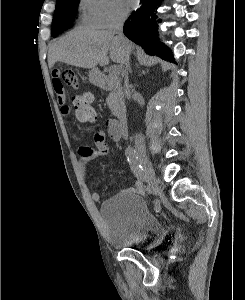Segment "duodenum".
Returning <instances> with one entry per match:
<instances>
[{
	"label": "duodenum",
	"mask_w": 245,
	"mask_h": 300,
	"mask_svg": "<svg viewBox=\"0 0 245 300\" xmlns=\"http://www.w3.org/2000/svg\"><path fill=\"white\" fill-rule=\"evenodd\" d=\"M95 80L97 84L103 88H109L110 86L108 79L100 73H95ZM116 120L118 121V124L122 132L124 134H127L128 120H127V115L123 110L121 109L116 110Z\"/></svg>",
	"instance_id": "410a0bca"
}]
</instances>
